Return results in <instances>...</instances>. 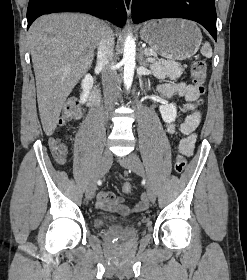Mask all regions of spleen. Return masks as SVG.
Here are the masks:
<instances>
[{
	"label": "spleen",
	"mask_w": 247,
	"mask_h": 280,
	"mask_svg": "<svg viewBox=\"0 0 247 280\" xmlns=\"http://www.w3.org/2000/svg\"><path fill=\"white\" fill-rule=\"evenodd\" d=\"M201 54L205 56L206 58H211L212 57V48L208 42H205L203 47L201 48Z\"/></svg>",
	"instance_id": "spleen-1"
}]
</instances>
